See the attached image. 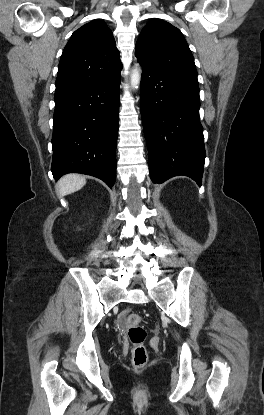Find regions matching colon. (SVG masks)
<instances>
[{
    "label": "colon",
    "mask_w": 264,
    "mask_h": 415,
    "mask_svg": "<svg viewBox=\"0 0 264 415\" xmlns=\"http://www.w3.org/2000/svg\"><path fill=\"white\" fill-rule=\"evenodd\" d=\"M142 317L139 313H129L126 317L128 335L132 344V363L136 368H142L148 361V353L144 347L146 331L141 326Z\"/></svg>",
    "instance_id": "5ec220e1"
}]
</instances>
